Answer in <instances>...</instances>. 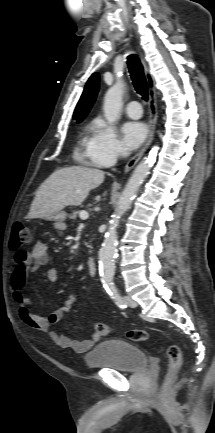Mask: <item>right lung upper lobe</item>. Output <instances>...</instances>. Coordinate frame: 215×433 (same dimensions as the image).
Returning a JSON list of instances; mask_svg holds the SVG:
<instances>
[{
  "mask_svg": "<svg viewBox=\"0 0 215 433\" xmlns=\"http://www.w3.org/2000/svg\"><path fill=\"white\" fill-rule=\"evenodd\" d=\"M99 83V75L98 73L92 74L89 80L86 83L85 89L82 93V96L76 106L73 118L78 122L82 121V119L87 115L91 106L93 105L97 92Z\"/></svg>",
  "mask_w": 215,
  "mask_h": 433,
  "instance_id": "right-lung-upper-lobe-1",
  "label": "right lung upper lobe"
}]
</instances>
